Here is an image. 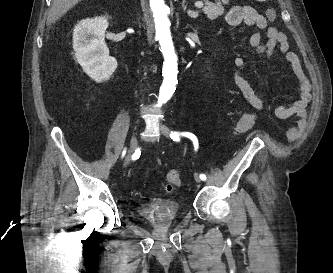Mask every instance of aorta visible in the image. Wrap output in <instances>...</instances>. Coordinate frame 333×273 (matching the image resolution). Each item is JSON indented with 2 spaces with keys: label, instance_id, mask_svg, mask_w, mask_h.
Wrapping results in <instances>:
<instances>
[{
  "label": "aorta",
  "instance_id": "aorta-1",
  "mask_svg": "<svg viewBox=\"0 0 333 273\" xmlns=\"http://www.w3.org/2000/svg\"><path fill=\"white\" fill-rule=\"evenodd\" d=\"M150 8L154 18L156 38L159 41L160 49L164 56V81L159 93V103H164L172 96L175 90L178 73L177 55L170 31L168 6L164 0H150Z\"/></svg>",
  "mask_w": 333,
  "mask_h": 273
}]
</instances>
